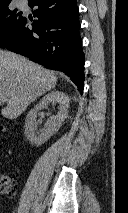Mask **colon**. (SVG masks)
Returning <instances> with one entry per match:
<instances>
[{
	"label": "colon",
	"mask_w": 128,
	"mask_h": 213,
	"mask_svg": "<svg viewBox=\"0 0 128 213\" xmlns=\"http://www.w3.org/2000/svg\"><path fill=\"white\" fill-rule=\"evenodd\" d=\"M0 130H3V127L0 126ZM14 191V185L12 180L6 176V175H1L0 176V193L4 194H11Z\"/></svg>",
	"instance_id": "colon-1"
}]
</instances>
